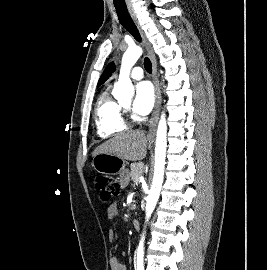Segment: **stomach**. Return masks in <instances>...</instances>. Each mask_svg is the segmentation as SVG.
<instances>
[{
  "label": "stomach",
  "mask_w": 267,
  "mask_h": 270,
  "mask_svg": "<svg viewBox=\"0 0 267 270\" xmlns=\"http://www.w3.org/2000/svg\"><path fill=\"white\" fill-rule=\"evenodd\" d=\"M93 168L102 174H120L125 169V160L107 153L97 154L93 157Z\"/></svg>",
  "instance_id": "0dacf381"
}]
</instances>
